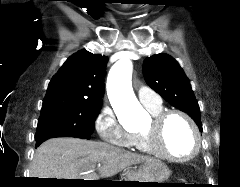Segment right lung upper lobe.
<instances>
[{
    "instance_id": "cb5924a9",
    "label": "right lung upper lobe",
    "mask_w": 240,
    "mask_h": 187,
    "mask_svg": "<svg viewBox=\"0 0 240 187\" xmlns=\"http://www.w3.org/2000/svg\"><path fill=\"white\" fill-rule=\"evenodd\" d=\"M108 58L86 50L70 56L51 79L43 107L63 103L102 104Z\"/></svg>"
}]
</instances>
